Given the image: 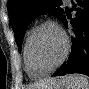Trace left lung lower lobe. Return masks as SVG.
<instances>
[{
	"instance_id": "1",
	"label": "left lung lower lobe",
	"mask_w": 89,
	"mask_h": 89,
	"mask_svg": "<svg viewBox=\"0 0 89 89\" xmlns=\"http://www.w3.org/2000/svg\"><path fill=\"white\" fill-rule=\"evenodd\" d=\"M71 11H75V18L71 19L72 51L65 62L53 76H63L81 73L89 76V0H72ZM68 14L64 13L62 22L67 26ZM69 17V16H68Z\"/></svg>"
}]
</instances>
